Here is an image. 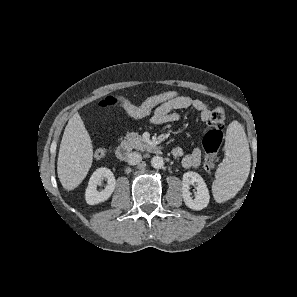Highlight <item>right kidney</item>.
<instances>
[{
	"instance_id": "obj_1",
	"label": "right kidney",
	"mask_w": 297,
	"mask_h": 297,
	"mask_svg": "<svg viewBox=\"0 0 297 297\" xmlns=\"http://www.w3.org/2000/svg\"><path fill=\"white\" fill-rule=\"evenodd\" d=\"M104 177L107 179V184L104 190L98 191L97 186L100 179ZM116 186V179L112 171L108 168L101 167L94 171L89 179L88 186L85 192L86 202L90 205L98 204L107 200L113 193Z\"/></svg>"
}]
</instances>
